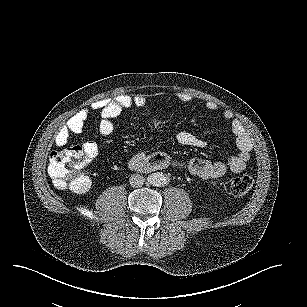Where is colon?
<instances>
[{"label":"colon","instance_id":"obj_1","mask_svg":"<svg viewBox=\"0 0 307 307\" xmlns=\"http://www.w3.org/2000/svg\"><path fill=\"white\" fill-rule=\"evenodd\" d=\"M87 165L83 149L79 146H72L51 153L48 172L57 188L82 193L89 188L91 183L85 171ZM252 186L253 178L248 174H243L230 180L229 191L235 196H242L247 194Z\"/></svg>","mask_w":307,"mask_h":307}]
</instances>
